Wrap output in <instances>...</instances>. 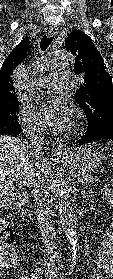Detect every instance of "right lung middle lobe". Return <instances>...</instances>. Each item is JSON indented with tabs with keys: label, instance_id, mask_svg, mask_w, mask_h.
Here are the masks:
<instances>
[{
	"label": "right lung middle lobe",
	"instance_id": "dd1d6c3e",
	"mask_svg": "<svg viewBox=\"0 0 113 279\" xmlns=\"http://www.w3.org/2000/svg\"><path fill=\"white\" fill-rule=\"evenodd\" d=\"M18 113V102L0 109V134L21 129L17 118Z\"/></svg>",
	"mask_w": 113,
	"mask_h": 279
}]
</instances>
